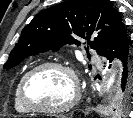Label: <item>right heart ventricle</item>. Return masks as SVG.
Masks as SVG:
<instances>
[{
  "label": "right heart ventricle",
  "mask_w": 133,
  "mask_h": 118,
  "mask_svg": "<svg viewBox=\"0 0 133 118\" xmlns=\"http://www.w3.org/2000/svg\"><path fill=\"white\" fill-rule=\"evenodd\" d=\"M22 77L20 78V80L18 81V83L15 87L14 106H15V109L17 112H19L21 114H28L30 111L25 107V105L22 103L21 98H20V82H21Z\"/></svg>",
  "instance_id": "right-heart-ventricle-1"
}]
</instances>
